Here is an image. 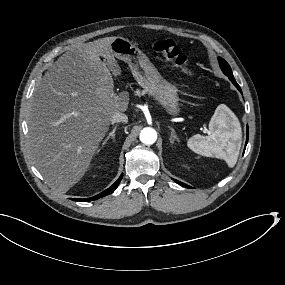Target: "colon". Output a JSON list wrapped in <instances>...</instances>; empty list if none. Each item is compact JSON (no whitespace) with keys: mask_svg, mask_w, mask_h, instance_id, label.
Here are the masks:
<instances>
[{"mask_svg":"<svg viewBox=\"0 0 285 285\" xmlns=\"http://www.w3.org/2000/svg\"><path fill=\"white\" fill-rule=\"evenodd\" d=\"M153 50L162 55L167 60H170L174 65L182 69L184 72L191 73L188 64V59L177 44L171 39H162L154 42Z\"/></svg>","mask_w":285,"mask_h":285,"instance_id":"1","label":"colon"}]
</instances>
